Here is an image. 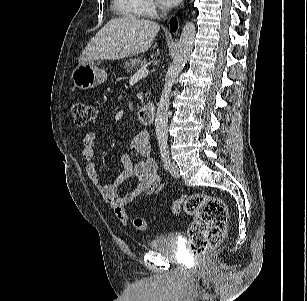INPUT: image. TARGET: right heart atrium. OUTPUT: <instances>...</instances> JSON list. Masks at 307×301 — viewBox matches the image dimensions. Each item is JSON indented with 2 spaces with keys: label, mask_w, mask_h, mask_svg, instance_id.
Segmentation results:
<instances>
[{
  "label": "right heart atrium",
  "mask_w": 307,
  "mask_h": 301,
  "mask_svg": "<svg viewBox=\"0 0 307 301\" xmlns=\"http://www.w3.org/2000/svg\"><path fill=\"white\" fill-rule=\"evenodd\" d=\"M143 12L148 17H154L157 14V6L153 0H143Z\"/></svg>",
  "instance_id": "obj_1"
}]
</instances>
